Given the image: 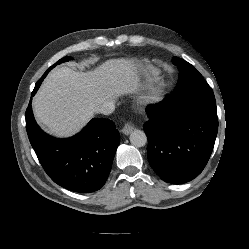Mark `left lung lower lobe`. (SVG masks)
Segmentation results:
<instances>
[{"instance_id":"obj_1","label":"left lung lower lobe","mask_w":249,"mask_h":249,"mask_svg":"<svg viewBox=\"0 0 249 249\" xmlns=\"http://www.w3.org/2000/svg\"><path fill=\"white\" fill-rule=\"evenodd\" d=\"M143 128L148 138V160L165 182L186 183L197 177L212 153L218 131L215 101L178 104L174 95L147 107Z\"/></svg>"}]
</instances>
